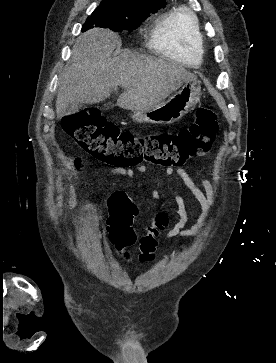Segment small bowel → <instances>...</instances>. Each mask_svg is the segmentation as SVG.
<instances>
[{
  "label": "small bowel",
  "instance_id": "small-bowel-1",
  "mask_svg": "<svg viewBox=\"0 0 276 363\" xmlns=\"http://www.w3.org/2000/svg\"><path fill=\"white\" fill-rule=\"evenodd\" d=\"M83 160L79 157L71 160V177H74L79 171L83 169ZM148 169L147 165H138L137 170L140 172H146ZM167 175H172L176 173L182 180L183 184L186 188L192 193V195L196 198L200 205V214L196 220V222L190 227H186V223L188 220L187 213L185 210V205L182 197L175 194L174 201L177 205V213H178V221L176 224L166 229L167 218L164 213L159 215L160 224H153L147 229V234H154L157 238L162 231L165 229V237L167 239H173L178 237H187L192 236L197 233L205 224L210 214V209L216 203V190L213 185L206 179L201 178V183L204 188V191L201 190L189 176V174L182 168H166L165 170ZM103 174H114L120 175L127 178H132L134 176V171L130 168L124 167H112L106 169ZM66 191L69 193V199L66 201V205L68 207H74L76 204V193L75 189L72 185L67 186ZM108 205L110 209H117L125 212L129 215L131 222L139 215V209L137 205L131 200L129 193L125 191H116L113 192L109 199ZM82 211L90 213L92 216L101 217V213L99 208L93 203H86L81 208ZM73 224L76 227L84 228L90 230L92 232H97V227L93 224L91 219L88 220H73Z\"/></svg>",
  "mask_w": 276,
  "mask_h": 363
}]
</instances>
